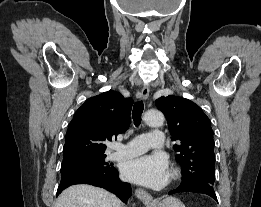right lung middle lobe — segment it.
Segmentation results:
<instances>
[{
    "label": "right lung middle lobe",
    "instance_id": "dd1d6c3e",
    "mask_svg": "<svg viewBox=\"0 0 261 207\" xmlns=\"http://www.w3.org/2000/svg\"><path fill=\"white\" fill-rule=\"evenodd\" d=\"M106 155L82 156L64 160L61 165V175L83 171H107L111 170L112 164L104 161Z\"/></svg>",
    "mask_w": 261,
    "mask_h": 207
}]
</instances>
